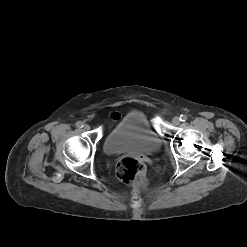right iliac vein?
<instances>
[{
  "label": "right iliac vein",
  "mask_w": 247,
  "mask_h": 247,
  "mask_svg": "<svg viewBox=\"0 0 247 247\" xmlns=\"http://www.w3.org/2000/svg\"><path fill=\"white\" fill-rule=\"evenodd\" d=\"M83 129L85 131H88L90 129V126L88 124H84Z\"/></svg>",
  "instance_id": "63e3f726"
}]
</instances>
